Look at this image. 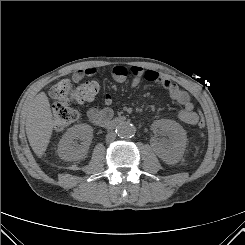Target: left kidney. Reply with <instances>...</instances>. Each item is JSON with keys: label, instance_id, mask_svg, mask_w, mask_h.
<instances>
[{"label": "left kidney", "instance_id": "left-kidney-1", "mask_svg": "<svg viewBox=\"0 0 245 245\" xmlns=\"http://www.w3.org/2000/svg\"><path fill=\"white\" fill-rule=\"evenodd\" d=\"M155 129L160 130L161 135H168L170 140L161 138L155 145L161 159L169 163L177 162L186 148V131L181 125L170 120H159L153 124Z\"/></svg>", "mask_w": 245, "mask_h": 245}]
</instances>
